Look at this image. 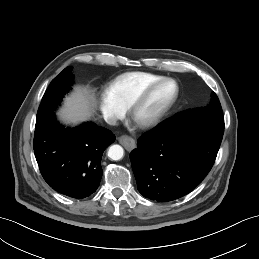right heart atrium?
<instances>
[{
    "instance_id": "obj_1",
    "label": "right heart atrium",
    "mask_w": 259,
    "mask_h": 259,
    "mask_svg": "<svg viewBox=\"0 0 259 259\" xmlns=\"http://www.w3.org/2000/svg\"><path fill=\"white\" fill-rule=\"evenodd\" d=\"M99 107L106 121L114 123L125 115V110L115 103L106 93L99 98Z\"/></svg>"
}]
</instances>
